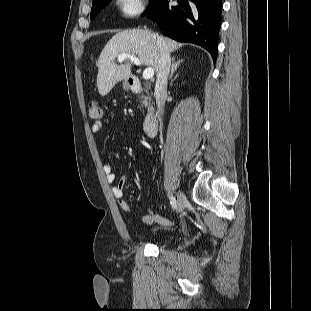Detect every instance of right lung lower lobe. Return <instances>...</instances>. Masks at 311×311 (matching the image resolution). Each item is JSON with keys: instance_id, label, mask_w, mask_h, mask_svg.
I'll return each instance as SVG.
<instances>
[{"instance_id": "right-lung-lower-lobe-1", "label": "right lung lower lobe", "mask_w": 311, "mask_h": 311, "mask_svg": "<svg viewBox=\"0 0 311 311\" xmlns=\"http://www.w3.org/2000/svg\"><path fill=\"white\" fill-rule=\"evenodd\" d=\"M178 4L170 6V0H160L149 11V17L157 22L165 36L198 44L216 60L221 0H178Z\"/></svg>"}]
</instances>
